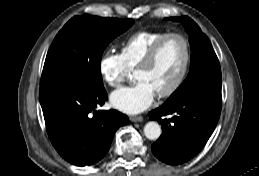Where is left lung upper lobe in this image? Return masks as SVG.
Segmentation results:
<instances>
[{
	"label": "left lung upper lobe",
	"instance_id": "left-lung-upper-lobe-1",
	"mask_svg": "<svg viewBox=\"0 0 259 176\" xmlns=\"http://www.w3.org/2000/svg\"><path fill=\"white\" fill-rule=\"evenodd\" d=\"M183 23L191 46L190 71L183 84L168 98L166 104L176 103L189 96L207 93L221 96V69L213 47L199 26L189 17H171Z\"/></svg>",
	"mask_w": 259,
	"mask_h": 176
}]
</instances>
